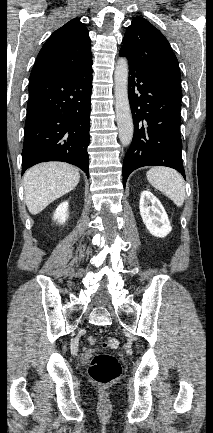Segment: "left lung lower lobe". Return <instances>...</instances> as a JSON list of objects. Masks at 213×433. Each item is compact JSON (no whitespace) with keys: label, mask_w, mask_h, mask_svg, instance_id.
<instances>
[{"label":"left lung lower lobe","mask_w":213,"mask_h":433,"mask_svg":"<svg viewBox=\"0 0 213 433\" xmlns=\"http://www.w3.org/2000/svg\"><path fill=\"white\" fill-rule=\"evenodd\" d=\"M128 96L134 138L123 161V186L130 173L143 166L171 167L185 178L180 136L181 92L129 63Z\"/></svg>","instance_id":"left-lung-lower-lobe-1"}]
</instances>
